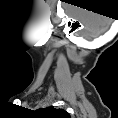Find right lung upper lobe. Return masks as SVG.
I'll return each mask as SVG.
<instances>
[{
  "mask_svg": "<svg viewBox=\"0 0 118 118\" xmlns=\"http://www.w3.org/2000/svg\"><path fill=\"white\" fill-rule=\"evenodd\" d=\"M47 111H49L50 113H55V112H64L62 109H55L53 107H48Z\"/></svg>",
  "mask_w": 118,
  "mask_h": 118,
  "instance_id": "obj_1",
  "label": "right lung upper lobe"
}]
</instances>
